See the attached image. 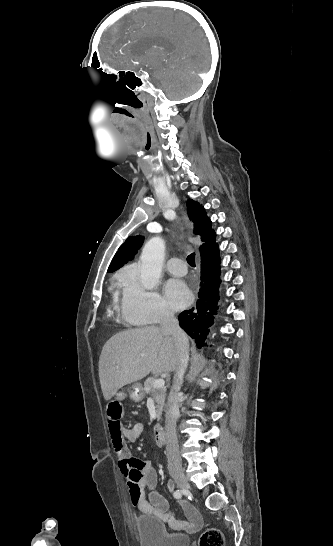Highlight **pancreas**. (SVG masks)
<instances>
[{"instance_id": "1", "label": "pancreas", "mask_w": 333, "mask_h": 546, "mask_svg": "<svg viewBox=\"0 0 333 546\" xmlns=\"http://www.w3.org/2000/svg\"><path fill=\"white\" fill-rule=\"evenodd\" d=\"M155 381L154 377H149L144 382V388L143 392L147 395H151L153 397L154 402L156 403V417L158 420H160L162 416V411L164 407L165 402V395H166V388H154L153 382Z\"/></svg>"}]
</instances>
